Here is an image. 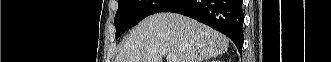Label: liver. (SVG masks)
Segmentation results:
<instances>
[{
	"mask_svg": "<svg viewBox=\"0 0 331 62\" xmlns=\"http://www.w3.org/2000/svg\"><path fill=\"white\" fill-rule=\"evenodd\" d=\"M228 39L212 28L175 13H158L142 20L123 39L115 62H203L224 54Z\"/></svg>",
	"mask_w": 331,
	"mask_h": 62,
	"instance_id": "1",
	"label": "liver"
}]
</instances>
